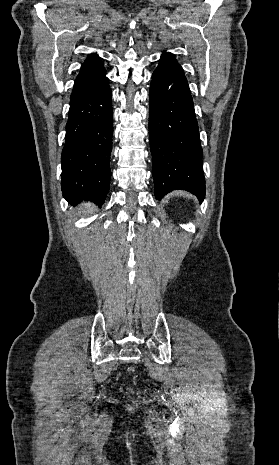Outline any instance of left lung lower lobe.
<instances>
[{"label":"left lung lower lobe","mask_w":279,"mask_h":465,"mask_svg":"<svg viewBox=\"0 0 279 465\" xmlns=\"http://www.w3.org/2000/svg\"><path fill=\"white\" fill-rule=\"evenodd\" d=\"M149 136L155 197L184 189L205 197L202 148L193 100L182 67L163 53L149 91Z\"/></svg>","instance_id":"left-lung-lower-lobe-1"}]
</instances>
